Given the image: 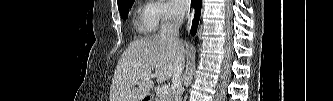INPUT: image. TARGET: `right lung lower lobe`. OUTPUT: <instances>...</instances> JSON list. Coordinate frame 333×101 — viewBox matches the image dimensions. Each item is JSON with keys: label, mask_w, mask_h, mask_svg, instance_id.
<instances>
[{"label": "right lung lower lobe", "mask_w": 333, "mask_h": 101, "mask_svg": "<svg viewBox=\"0 0 333 101\" xmlns=\"http://www.w3.org/2000/svg\"><path fill=\"white\" fill-rule=\"evenodd\" d=\"M192 4L195 7V16L193 19V25L191 28V34L195 35L197 26L199 23V18H200V12H201V6H202V0H192Z\"/></svg>", "instance_id": "98d812e1"}]
</instances>
